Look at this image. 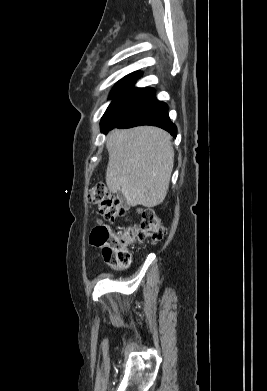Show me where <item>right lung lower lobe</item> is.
Instances as JSON below:
<instances>
[{
	"instance_id": "obj_1",
	"label": "right lung lower lobe",
	"mask_w": 267,
	"mask_h": 391,
	"mask_svg": "<svg viewBox=\"0 0 267 391\" xmlns=\"http://www.w3.org/2000/svg\"><path fill=\"white\" fill-rule=\"evenodd\" d=\"M139 125L157 126L174 137L177 135V128L168 115L167 104L156 99L153 88H145L135 94L101 125V131L107 133L116 127L130 128Z\"/></svg>"
}]
</instances>
